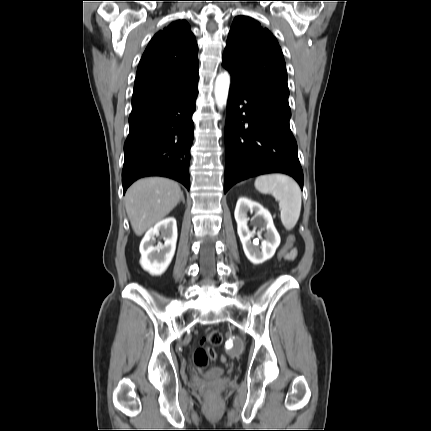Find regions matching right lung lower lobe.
<instances>
[{"label":"right lung lower lobe","instance_id":"98d812e1","mask_svg":"<svg viewBox=\"0 0 431 431\" xmlns=\"http://www.w3.org/2000/svg\"><path fill=\"white\" fill-rule=\"evenodd\" d=\"M198 81L165 102L131 112L124 144L123 191L145 176H164L189 190L192 115Z\"/></svg>","mask_w":431,"mask_h":431}]
</instances>
